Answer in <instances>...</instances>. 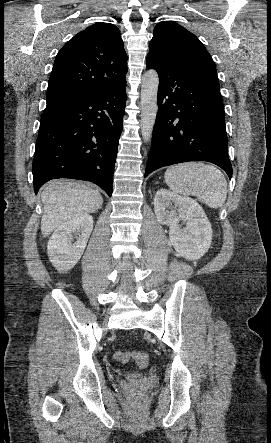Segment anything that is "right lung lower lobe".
<instances>
[{
  "instance_id": "obj_1",
  "label": "right lung lower lobe",
  "mask_w": 271,
  "mask_h": 443,
  "mask_svg": "<svg viewBox=\"0 0 271 443\" xmlns=\"http://www.w3.org/2000/svg\"><path fill=\"white\" fill-rule=\"evenodd\" d=\"M126 99L125 83L47 103L32 166L36 194L51 179L72 178L112 195Z\"/></svg>"
}]
</instances>
